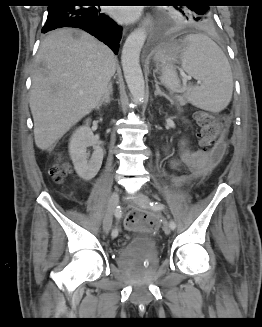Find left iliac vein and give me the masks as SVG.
Instances as JSON below:
<instances>
[{
  "label": "left iliac vein",
  "mask_w": 262,
  "mask_h": 327,
  "mask_svg": "<svg viewBox=\"0 0 262 327\" xmlns=\"http://www.w3.org/2000/svg\"><path fill=\"white\" fill-rule=\"evenodd\" d=\"M135 201L139 206L144 207V208H147L150 203V199L146 195L141 194V193L137 194ZM163 231L166 235H169L171 232L170 225L167 222H164V224H163Z\"/></svg>",
  "instance_id": "1"
}]
</instances>
